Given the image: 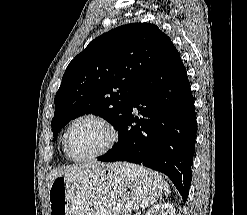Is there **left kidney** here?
Here are the masks:
<instances>
[{"instance_id":"obj_1","label":"left kidney","mask_w":247,"mask_h":215,"mask_svg":"<svg viewBox=\"0 0 247 215\" xmlns=\"http://www.w3.org/2000/svg\"><path fill=\"white\" fill-rule=\"evenodd\" d=\"M146 215H175V208L170 203L156 204L146 212Z\"/></svg>"}]
</instances>
